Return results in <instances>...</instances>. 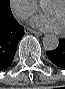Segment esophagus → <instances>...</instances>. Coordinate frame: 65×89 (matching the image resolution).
Returning <instances> with one entry per match:
<instances>
[{
    "label": "esophagus",
    "mask_w": 65,
    "mask_h": 89,
    "mask_svg": "<svg viewBox=\"0 0 65 89\" xmlns=\"http://www.w3.org/2000/svg\"><path fill=\"white\" fill-rule=\"evenodd\" d=\"M27 32H29V33H33V34L38 35V36H42V33L39 32V31H36V30L27 29Z\"/></svg>",
    "instance_id": "34e87169"
}]
</instances>
